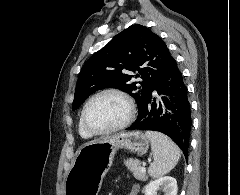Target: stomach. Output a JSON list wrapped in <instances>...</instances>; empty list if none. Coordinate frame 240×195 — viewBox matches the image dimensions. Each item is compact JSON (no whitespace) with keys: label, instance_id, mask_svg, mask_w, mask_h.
Here are the masks:
<instances>
[{"label":"stomach","instance_id":"0dacf381","mask_svg":"<svg viewBox=\"0 0 240 195\" xmlns=\"http://www.w3.org/2000/svg\"><path fill=\"white\" fill-rule=\"evenodd\" d=\"M148 147L149 139L142 131H121L87 141L77 149L67 173L66 195H98L103 177L110 169L118 149L144 155Z\"/></svg>","mask_w":240,"mask_h":195}]
</instances>
